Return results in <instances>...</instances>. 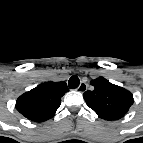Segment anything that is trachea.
<instances>
[{"instance_id": "trachea-1", "label": "trachea", "mask_w": 143, "mask_h": 143, "mask_svg": "<svg viewBox=\"0 0 143 143\" xmlns=\"http://www.w3.org/2000/svg\"><path fill=\"white\" fill-rule=\"evenodd\" d=\"M80 81L79 78L76 75H73L70 77L69 81H68V86L70 89H75L79 86Z\"/></svg>"}]
</instances>
